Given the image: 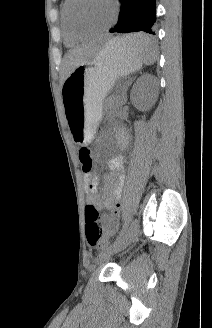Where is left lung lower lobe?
Listing matches in <instances>:
<instances>
[{
  "instance_id": "1",
  "label": "left lung lower lobe",
  "mask_w": 212,
  "mask_h": 328,
  "mask_svg": "<svg viewBox=\"0 0 212 328\" xmlns=\"http://www.w3.org/2000/svg\"><path fill=\"white\" fill-rule=\"evenodd\" d=\"M121 8L117 24L109 32H137L144 31L154 34L151 27L156 21L155 0H120ZM151 46V39L130 44V48H146Z\"/></svg>"
}]
</instances>
